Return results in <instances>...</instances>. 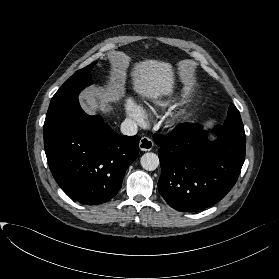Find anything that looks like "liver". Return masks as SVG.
<instances>
[{
    "instance_id": "6515ba94",
    "label": "liver",
    "mask_w": 279,
    "mask_h": 279,
    "mask_svg": "<svg viewBox=\"0 0 279 279\" xmlns=\"http://www.w3.org/2000/svg\"><path fill=\"white\" fill-rule=\"evenodd\" d=\"M113 64V88L118 90L122 86L129 63L125 60H115ZM130 75L134 90L151 100H158L162 95H168L172 92L174 69L170 63L153 59L144 60L134 64ZM82 97V107L89 114L96 111L107 113L111 110L112 94L108 91L100 93L87 91Z\"/></svg>"
}]
</instances>
